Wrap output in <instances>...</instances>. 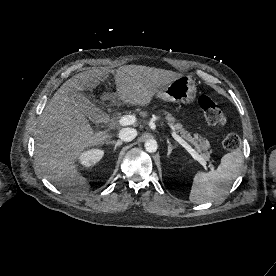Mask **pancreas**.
<instances>
[{
	"mask_svg": "<svg viewBox=\"0 0 276 276\" xmlns=\"http://www.w3.org/2000/svg\"><path fill=\"white\" fill-rule=\"evenodd\" d=\"M166 114V120L172 126L174 131L179 132L182 138L195 146L196 152L199 155H201L205 160H208L210 158V152L208 151L210 148L209 141L198 134H195L194 137H192L180 123H175V118L170 113Z\"/></svg>",
	"mask_w": 276,
	"mask_h": 276,
	"instance_id": "1",
	"label": "pancreas"
}]
</instances>
